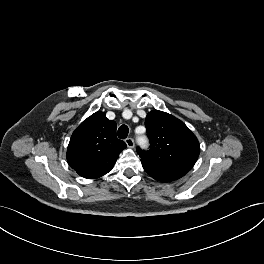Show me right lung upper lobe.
I'll list each match as a JSON object with an SVG mask.
<instances>
[{"label": "right lung upper lobe", "instance_id": "obj_1", "mask_svg": "<svg viewBox=\"0 0 264 264\" xmlns=\"http://www.w3.org/2000/svg\"><path fill=\"white\" fill-rule=\"evenodd\" d=\"M125 142L116 136V123L98 111L84 120L73 132L67 161L80 176L99 178L112 170Z\"/></svg>", "mask_w": 264, "mask_h": 264}]
</instances>
